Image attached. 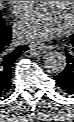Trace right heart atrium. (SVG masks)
<instances>
[{
	"mask_svg": "<svg viewBox=\"0 0 74 122\" xmlns=\"http://www.w3.org/2000/svg\"><path fill=\"white\" fill-rule=\"evenodd\" d=\"M32 1H7L8 5L11 7L18 18L29 10V6Z\"/></svg>",
	"mask_w": 74,
	"mask_h": 122,
	"instance_id": "right-heart-atrium-1",
	"label": "right heart atrium"
}]
</instances>
